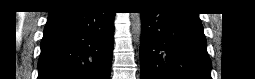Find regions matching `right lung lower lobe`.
Returning <instances> with one entry per match:
<instances>
[{"label": "right lung lower lobe", "mask_w": 255, "mask_h": 79, "mask_svg": "<svg viewBox=\"0 0 255 79\" xmlns=\"http://www.w3.org/2000/svg\"><path fill=\"white\" fill-rule=\"evenodd\" d=\"M114 15L94 5L65 6L49 12L38 79H109Z\"/></svg>", "instance_id": "1"}]
</instances>
